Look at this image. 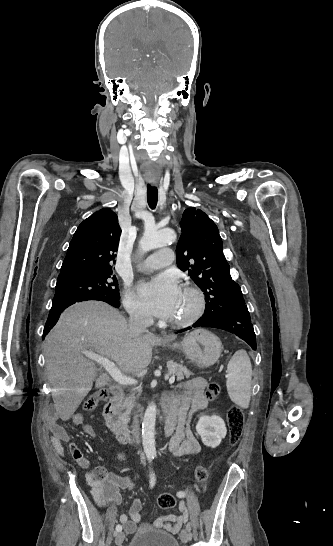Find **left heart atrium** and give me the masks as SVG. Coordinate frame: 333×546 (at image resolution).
I'll list each match as a JSON object with an SVG mask.
<instances>
[{"mask_svg": "<svg viewBox=\"0 0 333 546\" xmlns=\"http://www.w3.org/2000/svg\"><path fill=\"white\" fill-rule=\"evenodd\" d=\"M138 294L150 313L160 318H170L181 294V288L176 276L166 272L141 283L138 286Z\"/></svg>", "mask_w": 333, "mask_h": 546, "instance_id": "obj_1", "label": "left heart atrium"}]
</instances>
